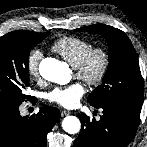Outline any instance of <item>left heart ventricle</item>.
Listing matches in <instances>:
<instances>
[{
	"instance_id": "1",
	"label": "left heart ventricle",
	"mask_w": 147,
	"mask_h": 147,
	"mask_svg": "<svg viewBox=\"0 0 147 147\" xmlns=\"http://www.w3.org/2000/svg\"><path fill=\"white\" fill-rule=\"evenodd\" d=\"M98 68V63L95 62L94 65L92 66V72H95Z\"/></svg>"
}]
</instances>
